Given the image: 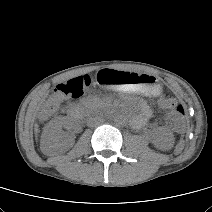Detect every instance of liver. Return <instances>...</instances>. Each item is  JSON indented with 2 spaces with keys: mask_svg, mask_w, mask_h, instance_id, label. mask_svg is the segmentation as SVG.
<instances>
[{
  "mask_svg": "<svg viewBox=\"0 0 212 212\" xmlns=\"http://www.w3.org/2000/svg\"><path fill=\"white\" fill-rule=\"evenodd\" d=\"M35 132H38V124H35Z\"/></svg>",
  "mask_w": 212,
  "mask_h": 212,
  "instance_id": "1",
  "label": "liver"
}]
</instances>
